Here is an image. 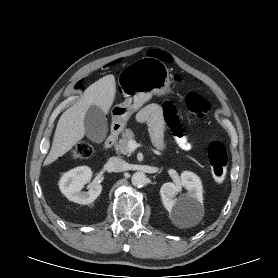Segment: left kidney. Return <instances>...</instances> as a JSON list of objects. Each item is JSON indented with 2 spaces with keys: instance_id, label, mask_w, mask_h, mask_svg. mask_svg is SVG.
<instances>
[{
  "instance_id": "1",
  "label": "left kidney",
  "mask_w": 278,
  "mask_h": 278,
  "mask_svg": "<svg viewBox=\"0 0 278 278\" xmlns=\"http://www.w3.org/2000/svg\"><path fill=\"white\" fill-rule=\"evenodd\" d=\"M184 187L188 192L181 198L176 194ZM163 205L170 217L177 222H190L203 210V188L200 178L193 172L184 171L177 183L167 182L160 189Z\"/></svg>"
}]
</instances>
